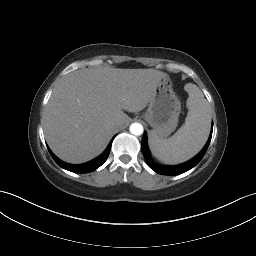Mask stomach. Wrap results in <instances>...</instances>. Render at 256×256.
I'll list each match as a JSON object with an SVG mask.
<instances>
[{
	"mask_svg": "<svg viewBox=\"0 0 256 256\" xmlns=\"http://www.w3.org/2000/svg\"><path fill=\"white\" fill-rule=\"evenodd\" d=\"M180 112L181 102L173 90L171 79L165 74L152 94L144 119L162 139L175 130Z\"/></svg>",
	"mask_w": 256,
	"mask_h": 256,
	"instance_id": "0dacf381",
	"label": "stomach"
}]
</instances>
